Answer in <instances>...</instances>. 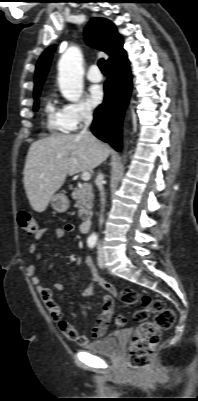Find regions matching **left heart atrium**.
<instances>
[{
    "label": "left heart atrium",
    "instance_id": "left-heart-atrium-1",
    "mask_svg": "<svg viewBox=\"0 0 198 401\" xmlns=\"http://www.w3.org/2000/svg\"><path fill=\"white\" fill-rule=\"evenodd\" d=\"M105 94L104 90L99 85H94L89 89L87 95V101L93 107L100 105L104 100Z\"/></svg>",
    "mask_w": 198,
    "mask_h": 401
}]
</instances>
